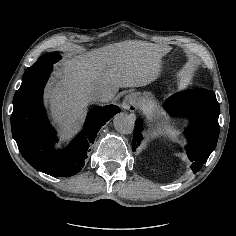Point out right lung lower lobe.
Listing matches in <instances>:
<instances>
[{"instance_id": "98d812e1", "label": "right lung lower lobe", "mask_w": 236, "mask_h": 236, "mask_svg": "<svg viewBox=\"0 0 236 236\" xmlns=\"http://www.w3.org/2000/svg\"><path fill=\"white\" fill-rule=\"evenodd\" d=\"M51 70L52 65L22 78L13 99L11 130L22 156L31 166L51 176L69 177L81 171L97 132L120 109L109 105L90 110L83 130L70 145L54 150L57 138L42 104L43 89Z\"/></svg>"}]
</instances>
